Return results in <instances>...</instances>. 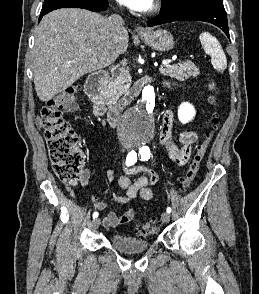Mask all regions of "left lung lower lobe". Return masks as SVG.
Here are the masks:
<instances>
[{
	"label": "left lung lower lobe",
	"mask_w": 259,
	"mask_h": 294,
	"mask_svg": "<svg viewBox=\"0 0 259 294\" xmlns=\"http://www.w3.org/2000/svg\"><path fill=\"white\" fill-rule=\"evenodd\" d=\"M196 20L212 23L221 28L228 38L229 28L226 11L222 2L215 0H200L179 9L160 13L147 22L149 27L173 21Z\"/></svg>",
	"instance_id": "1"
}]
</instances>
